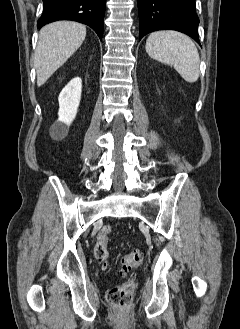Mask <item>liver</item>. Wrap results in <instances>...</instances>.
Wrapping results in <instances>:
<instances>
[{"label":"liver","mask_w":240,"mask_h":329,"mask_svg":"<svg viewBox=\"0 0 240 329\" xmlns=\"http://www.w3.org/2000/svg\"><path fill=\"white\" fill-rule=\"evenodd\" d=\"M85 37L86 27L72 21H57L40 30L34 56L38 87L77 51Z\"/></svg>","instance_id":"liver-1"}]
</instances>
